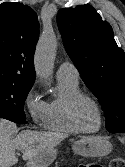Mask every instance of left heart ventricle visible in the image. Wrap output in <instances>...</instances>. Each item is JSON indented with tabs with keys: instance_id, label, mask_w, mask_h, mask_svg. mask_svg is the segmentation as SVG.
I'll return each instance as SVG.
<instances>
[{
	"instance_id": "b2bd125f",
	"label": "left heart ventricle",
	"mask_w": 125,
	"mask_h": 167,
	"mask_svg": "<svg viewBox=\"0 0 125 167\" xmlns=\"http://www.w3.org/2000/svg\"><path fill=\"white\" fill-rule=\"evenodd\" d=\"M81 126L88 130H94L99 125V115L95 106L89 101H83L77 112Z\"/></svg>"
}]
</instances>
